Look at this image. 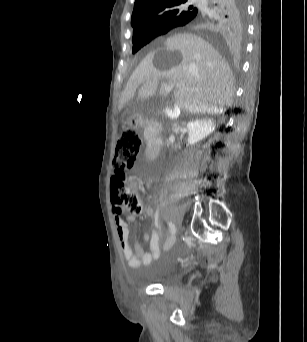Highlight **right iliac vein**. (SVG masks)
Masks as SVG:
<instances>
[{
  "mask_svg": "<svg viewBox=\"0 0 307 342\" xmlns=\"http://www.w3.org/2000/svg\"><path fill=\"white\" fill-rule=\"evenodd\" d=\"M175 242V237H171L167 240V242L164 245V249L168 250Z\"/></svg>",
  "mask_w": 307,
  "mask_h": 342,
  "instance_id": "right-iliac-vein-1",
  "label": "right iliac vein"
}]
</instances>
